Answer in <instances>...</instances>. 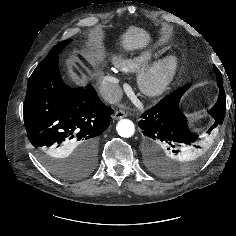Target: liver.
<instances>
[{
  "label": "liver",
  "mask_w": 236,
  "mask_h": 236,
  "mask_svg": "<svg viewBox=\"0 0 236 236\" xmlns=\"http://www.w3.org/2000/svg\"><path fill=\"white\" fill-rule=\"evenodd\" d=\"M148 41V35L135 27H131L124 35L122 46L126 50H133L143 47Z\"/></svg>",
  "instance_id": "1"
}]
</instances>
